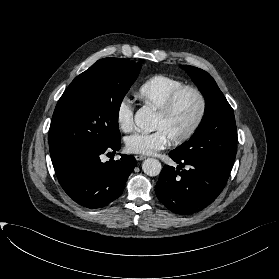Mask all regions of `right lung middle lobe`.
<instances>
[{
	"label": "right lung middle lobe",
	"mask_w": 279,
	"mask_h": 279,
	"mask_svg": "<svg viewBox=\"0 0 279 279\" xmlns=\"http://www.w3.org/2000/svg\"><path fill=\"white\" fill-rule=\"evenodd\" d=\"M140 69V63L127 59L104 58L71 82L53 113L51 159L94 150L120 139V105Z\"/></svg>",
	"instance_id": "right-lung-middle-lobe-1"
}]
</instances>
